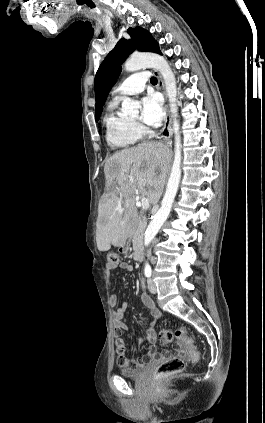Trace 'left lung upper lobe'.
<instances>
[{
    "mask_svg": "<svg viewBox=\"0 0 265 423\" xmlns=\"http://www.w3.org/2000/svg\"><path fill=\"white\" fill-rule=\"evenodd\" d=\"M132 40L122 38L118 41L115 48L107 55L100 65L94 81L96 110L95 120L98 121L103 105L107 99L109 91L115 84L120 72L121 63L136 48L144 52H155L161 54L158 43L153 39L151 34L141 28H129L127 30Z\"/></svg>",
    "mask_w": 265,
    "mask_h": 423,
    "instance_id": "left-lung-upper-lobe-1",
    "label": "left lung upper lobe"
}]
</instances>
